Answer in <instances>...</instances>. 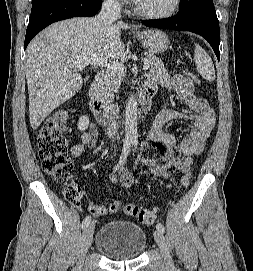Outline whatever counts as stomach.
<instances>
[{"label": "stomach", "mask_w": 253, "mask_h": 271, "mask_svg": "<svg viewBox=\"0 0 253 271\" xmlns=\"http://www.w3.org/2000/svg\"><path fill=\"white\" fill-rule=\"evenodd\" d=\"M136 37L150 54L163 53L170 45L167 34L161 30L151 29L141 31L136 34Z\"/></svg>", "instance_id": "obj_1"}]
</instances>
